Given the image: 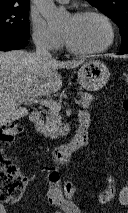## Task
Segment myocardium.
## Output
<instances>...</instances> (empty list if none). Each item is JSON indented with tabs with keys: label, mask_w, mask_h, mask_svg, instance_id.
<instances>
[{
	"label": "myocardium",
	"mask_w": 128,
	"mask_h": 213,
	"mask_svg": "<svg viewBox=\"0 0 128 213\" xmlns=\"http://www.w3.org/2000/svg\"><path fill=\"white\" fill-rule=\"evenodd\" d=\"M86 16L99 17L106 23V25L109 29L108 41L106 42V44L104 46H102L98 49L85 50V49H80V48L76 47L71 42V40L68 38V36L65 35L64 33H62L64 44H65L67 50L73 54L85 55V56L99 54V53H103V52L107 51L108 49H110V47L114 44V42L116 40V28H115L114 22L105 13H103L99 10H94V9H84V10L77 11V12L73 13L71 17L73 19H80V18H83Z\"/></svg>",
	"instance_id": "1"
}]
</instances>
